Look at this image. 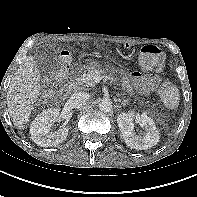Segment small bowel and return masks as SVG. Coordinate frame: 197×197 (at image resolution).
Listing matches in <instances>:
<instances>
[{"label": "small bowel", "instance_id": "obj_1", "mask_svg": "<svg viewBox=\"0 0 197 197\" xmlns=\"http://www.w3.org/2000/svg\"><path fill=\"white\" fill-rule=\"evenodd\" d=\"M158 77L156 75H145L135 72L131 76V84L134 88L142 93H151L158 84Z\"/></svg>", "mask_w": 197, "mask_h": 197}]
</instances>
